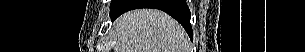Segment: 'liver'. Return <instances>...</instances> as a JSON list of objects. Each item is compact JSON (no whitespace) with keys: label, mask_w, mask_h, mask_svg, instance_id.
<instances>
[{"label":"liver","mask_w":305,"mask_h":52,"mask_svg":"<svg viewBox=\"0 0 305 52\" xmlns=\"http://www.w3.org/2000/svg\"><path fill=\"white\" fill-rule=\"evenodd\" d=\"M115 52H188L182 26L156 9H137L114 23Z\"/></svg>","instance_id":"1"}]
</instances>
